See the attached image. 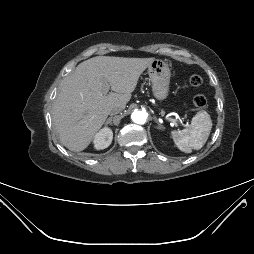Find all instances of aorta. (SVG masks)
<instances>
[{"label":"aorta","mask_w":254,"mask_h":254,"mask_svg":"<svg viewBox=\"0 0 254 254\" xmlns=\"http://www.w3.org/2000/svg\"><path fill=\"white\" fill-rule=\"evenodd\" d=\"M131 118L137 124H144L147 120V115L143 111H134Z\"/></svg>","instance_id":"1"}]
</instances>
